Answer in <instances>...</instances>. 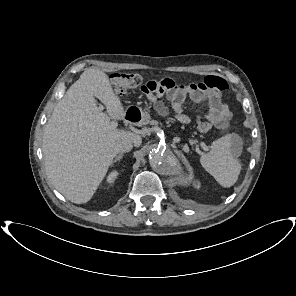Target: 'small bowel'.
I'll use <instances>...</instances> for the list:
<instances>
[{"mask_svg":"<svg viewBox=\"0 0 296 296\" xmlns=\"http://www.w3.org/2000/svg\"><path fill=\"white\" fill-rule=\"evenodd\" d=\"M227 88V83L224 79L217 76L206 77L199 83L189 85H178L173 79L165 78L162 80H150L142 86L141 90L151 101L157 111L163 115L168 113L167 108L159 99L160 96L166 95L170 102L175 118L183 123H189V117L183 113V103L186 98H190L195 103H201L208 98L221 102V92ZM224 108V121L218 123L220 126L224 124L229 116L226 106Z\"/></svg>","mask_w":296,"mask_h":296,"instance_id":"1","label":"small bowel"}]
</instances>
